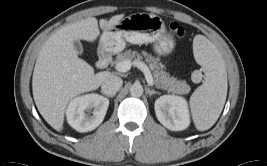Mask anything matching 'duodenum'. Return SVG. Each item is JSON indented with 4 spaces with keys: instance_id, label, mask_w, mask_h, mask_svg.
<instances>
[{
    "instance_id": "1",
    "label": "duodenum",
    "mask_w": 267,
    "mask_h": 166,
    "mask_svg": "<svg viewBox=\"0 0 267 166\" xmlns=\"http://www.w3.org/2000/svg\"><path fill=\"white\" fill-rule=\"evenodd\" d=\"M111 61H112V57L109 53L101 52L98 62H97L98 68L101 70L107 68L109 64L111 63Z\"/></svg>"
}]
</instances>
